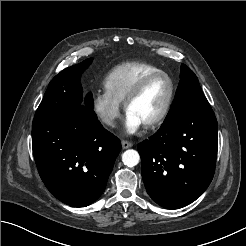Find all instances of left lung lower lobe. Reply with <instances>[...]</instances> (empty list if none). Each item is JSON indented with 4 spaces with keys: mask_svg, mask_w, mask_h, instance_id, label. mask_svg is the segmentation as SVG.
<instances>
[{
    "mask_svg": "<svg viewBox=\"0 0 246 246\" xmlns=\"http://www.w3.org/2000/svg\"><path fill=\"white\" fill-rule=\"evenodd\" d=\"M217 128L207 103L165 120L155 135L138 145L143 181L157 204L178 209L207 189L215 171Z\"/></svg>",
    "mask_w": 246,
    "mask_h": 246,
    "instance_id": "0a47b994",
    "label": "left lung lower lobe"
}]
</instances>
